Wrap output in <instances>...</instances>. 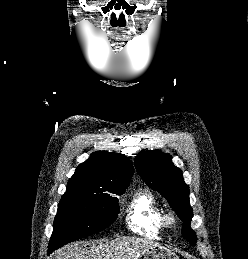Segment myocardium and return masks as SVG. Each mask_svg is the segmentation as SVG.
Returning <instances> with one entry per match:
<instances>
[{"mask_svg": "<svg viewBox=\"0 0 248 259\" xmlns=\"http://www.w3.org/2000/svg\"><path fill=\"white\" fill-rule=\"evenodd\" d=\"M164 221L167 227H172L176 224V217L173 213L169 212L164 215Z\"/></svg>", "mask_w": 248, "mask_h": 259, "instance_id": "myocardium-1", "label": "myocardium"}]
</instances>
